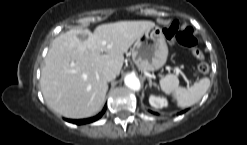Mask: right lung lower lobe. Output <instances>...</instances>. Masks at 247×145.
Returning <instances> with one entry per match:
<instances>
[{"mask_svg":"<svg viewBox=\"0 0 247 145\" xmlns=\"http://www.w3.org/2000/svg\"><path fill=\"white\" fill-rule=\"evenodd\" d=\"M104 112H105V108L101 113H99L97 116L92 117V118L82 119V120H70V119H66V120L68 122H72V123H75V124H78V125L85 124V123H90V122L98 120L104 114Z\"/></svg>","mask_w":247,"mask_h":145,"instance_id":"obj_1","label":"right lung lower lobe"}]
</instances>
